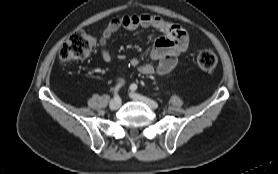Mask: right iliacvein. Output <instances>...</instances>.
Returning a JSON list of instances; mask_svg holds the SVG:
<instances>
[{"label": "right iliac vein", "instance_id": "1", "mask_svg": "<svg viewBox=\"0 0 278 174\" xmlns=\"http://www.w3.org/2000/svg\"><path fill=\"white\" fill-rule=\"evenodd\" d=\"M121 106V100H111L109 103V107L112 110H116Z\"/></svg>", "mask_w": 278, "mask_h": 174}]
</instances>
